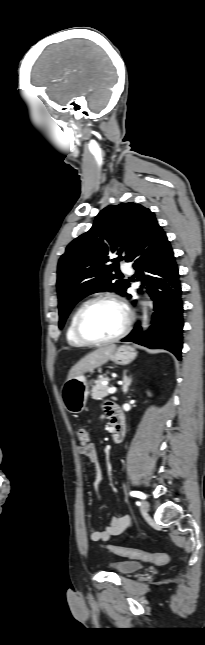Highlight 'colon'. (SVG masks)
<instances>
[{
  "mask_svg": "<svg viewBox=\"0 0 205 645\" xmlns=\"http://www.w3.org/2000/svg\"><path fill=\"white\" fill-rule=\"evenodd\" d=\"M75 433L78 439V443L81 447L89 446L91 442V434L87 428L79 426L76 428ZM109 549L113 553L120 556L133 559H142L156 564H164L168 561V555L166 553H150L139 549L125 548L120 546H109Z\"/></svg>",
  "mask_w": 205,
  "mask_h": 645,
  "instance_id": "1",
  "label": "colon"
}]
</instances>
